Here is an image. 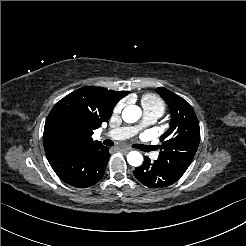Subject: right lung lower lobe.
Wrapping results in <instances>:
<instances>
[{
    "mask_svg": "<svg viewBox=\"0 0 246 246\" xmlns=\"http://www.w3.org/2000/svg\"><path fill=\"white\" fill-rule=\"evenodd\" d=\"M108 149L103 145L56 149L46 156L60 179L74 187L86 188L102 178L110 157Z\"/></svg>",
    "mask_w": 246,
    "mask_h": 246,
    "instance_id": "98d812e1",
    "label": "right lung lower lobe"
}]
</instances>
